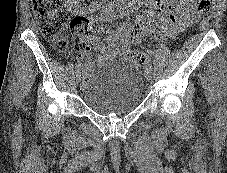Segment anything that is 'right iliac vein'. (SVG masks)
<instances>
[{
    "mask_svg": "<svg viewBox=\"0 0 227 173\" xmlns=\"http://www.w3.org/2000/svg\"><path fill=\"white\" fill-rule=\"evenodd\" d=\"M81 80V72L78 71L77 74H76V83L78 84Z\"/></svg>",
    "mask_w": 227,
    "mask_h": 173,
    "instance_id": "1",
    "label": "right iliac vein"
}]
</instances>
